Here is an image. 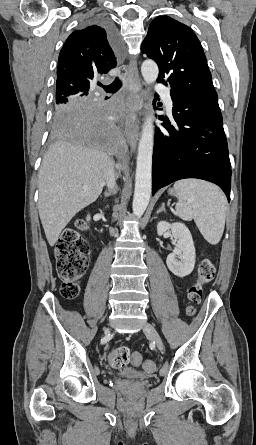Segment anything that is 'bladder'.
Here are the masks:
<instances>
[{
    "mask_svg": "<svg viewBox=\"0 0 256 445\" xmlns=\"http://www.w3.org/2000/svg\"><path fill=\"white\" fill-rule=\"evenodd\" d=\"M120 377L131 380H146L147 375L133 368H123L118 372Z\"/></svg>",
    "mask_w": 256,
    "mask_h": 445,
    "instance_id": "obj_1",
    "label": "bladder"
}]
</instances>
